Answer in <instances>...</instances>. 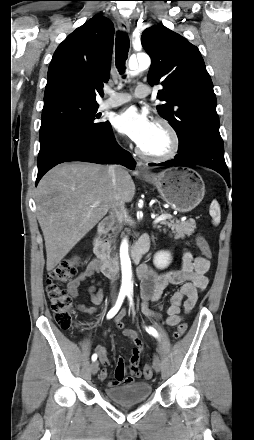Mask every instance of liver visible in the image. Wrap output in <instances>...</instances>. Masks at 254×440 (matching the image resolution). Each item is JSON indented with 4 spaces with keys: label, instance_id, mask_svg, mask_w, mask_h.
<instances>
[{
    "label": "liver",
    "instance_id": "liver-1",
    "mask_svg": "<svg viewBox=\"0 0 254 440\" xmlns=\"http://www.w3.org/2000/svg\"><path fill=\"white\" fill-rule=\"evenodd\" d=\"M134 195V182L122 167L116 188L108 166L103 165L64 163L44 175L36 190V206L47 271L53 270L117 202L129 203ZM94 203L99 205L92 207Z\"/></svg>",
    "mask_w": 254,
    "mask_h": 440
}]
</instances>
